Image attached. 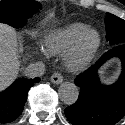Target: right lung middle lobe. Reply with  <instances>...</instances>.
Returning <instances> with one entry per match:
<instances>
[{
    "label": "right lung middle lobe",
    "instance_id": "1",
    "mask_svg": "<svg viewBox=\"0 0 125 125\" xmlns=\"http://www.w3.org/2000/svg\"><path fill=\"white\" fill-rule=\"evenodd\" d=\"M41 8L40 3L33 0H3L0 2V22L22 27Z\"/></svg>",
    "mask_w": 125,
    "mask_h": 125
}]
</instances>
